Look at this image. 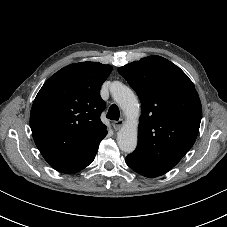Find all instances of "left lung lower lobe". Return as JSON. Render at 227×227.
Segmentation results:
<instances>
[{"mask_svg": "<svg viewBox=\"0 0 227 227\" xmlns=\"http://www.w3.org/2000/svg\"><path fill=\"white\" fill-rule=\"evenodd\" d=\"M127 165L135 172L145 177H157L161 176L169 171V169L159 168L149 165L131 155H128L125 159Z\"/></svg>", "mask_w": 227, "mask_h": 227, "instance_id": "0a47b994", "label": "left lung lower lobe"}]
</instances>
